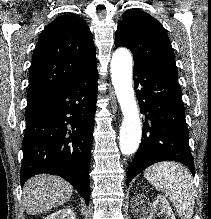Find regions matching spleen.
Returning a JSON list of instances; mask_svg holds the SVG:
<instances>
[{
    "label": "spleen",
    "mask_w": 211,
    "mask_h": 219,
    "mask_svg": "<svg viewBox=\"0 0 211 219\" xmlns=\"http://www.w3.org/2000/svg\"><path fill=\"white\" fill-rule=\"evenodd\" d=\"M144 177L174 204L181 219H191L195 204L193 178L183 165L161 162L149 167Z\"/></svg>",
    "instance_id": "1"
}]
</instances>
